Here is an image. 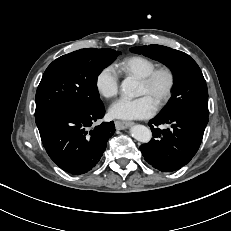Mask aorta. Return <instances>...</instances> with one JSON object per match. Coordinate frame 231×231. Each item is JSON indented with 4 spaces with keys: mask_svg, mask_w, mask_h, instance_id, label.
Here are the masks:
<instances>
[{
    "mask_svg": "<svg viewBox=\"0 0 231 231\" xmlns=\"http://www.w3.org/2000/svg\"><path fill=\"white\" fill-rule=\"evenodd\" d=\"M121 91L127 97H134L138 94V82L127 77L121 83ZM133 138L142 143H148L152 137L151 130L144 125H135L130 129Z\"/></svg>",
    "mask_w": 231,
    "mask_h": 231,
    "instance_id": "aorta-1",
    "label": "aorta"
}]
</instances>
